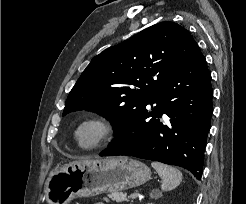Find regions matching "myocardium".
<instances>
[{
	"label": "myocardium",
	"mask_w": 246,
	"mask_h": 204,
	"mask_svg": "<svg viewBox=\"0 0 246 204\" xmlns=\"http://www.w3.org/2000/svg\"><path fill=\"white\" fill-rule=\"evenodd\" d=\"M86 126H95L98 130L97 136L90 143H83L79 139L80 131ZM116 133V126L114 122L101 115L88 116L82 119L73 130V140L75 144L83 150L98 149L109 143Z\"/></svg>",
	"instance_id": "f54148a6"
}]
</instances>
